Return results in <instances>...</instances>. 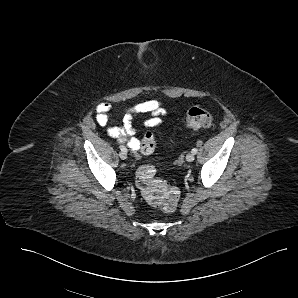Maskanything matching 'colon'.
<instances>
[{
  "mask_svg": "<svg viewBox=\"0 0 298 298\" xmlns=\"http://www.w3.org/2000/svg\"><path fill=\"white\" fill-rule=\"evenodd\" d=\"M185 125L191 129L210 128L213 125L211 113L201 107H191L183 119ZM156 147L155 136L151 131L144 133L140 142V152L151 154ZM156 169L152 165L139 167L136 173V183L145 200L152 206L164 211H174L177 207L180 192L177 187L155 177Z\"/></svg>",
  "mask_w": 298,
  "mask_h": 298,
  "instance_id": "5ec220e1",
  "label": "colon"
}]
</instances>
